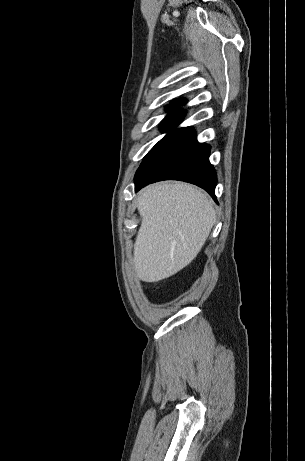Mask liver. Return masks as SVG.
<instances>
[{
	"label": "liver",
	"mask_w": 305,
	"mask_h": 461,
	"mask_svg": "<svg viewBox=\"0 0 305 461\" xmlns=\"http://www.w3.org/2000/svg\"><path fill=\"white\" fill-rule=\"evenodd\" d=\"M142 218L134 244V269L140 280L158 282L189 265L215 223L213 203L182 182L156 183L137 199Z\"/></svg>",
	"instance_id": "obj_1"
}]
</instances>
